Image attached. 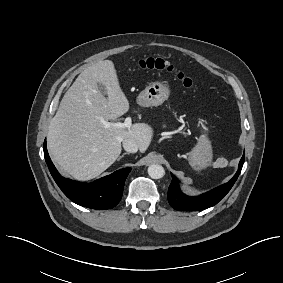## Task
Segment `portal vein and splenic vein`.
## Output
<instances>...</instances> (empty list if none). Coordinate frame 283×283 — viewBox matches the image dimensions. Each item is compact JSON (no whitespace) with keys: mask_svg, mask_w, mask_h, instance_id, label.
I'll return each instance as SVG.
<instances>
[{"mask_svg":"<svg viewBox=\"0 0 283 283\" xmlns=\"http://www.w3.org/2000/svg\"><path fill=\"white\" fill-rule=\"evenodd\" d=\"M101 122L106 128L113 126L115 128L130 129L132 127V119L130 117H127L124 122L110 123L104 119H101Z\"/></svg>","mask_w":283,"mask_h":283,"instance_id":"18ae733b","label":"portal vein and splenic vein"}]
</instances>
